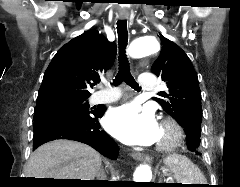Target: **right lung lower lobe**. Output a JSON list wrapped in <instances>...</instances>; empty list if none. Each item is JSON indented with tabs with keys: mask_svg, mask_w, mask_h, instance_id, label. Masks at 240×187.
Listing matches in <instances>:
<instances>
[{
	"mask_svg": "<svg viewBox=\"0 0 240 187\" xmlns=\"http://www.w3.org/2000/svg\"><path fill=\"white\" fill-rule=\"evenodd\" d=\"M104 112L105 108L101 106L89 118L73 119L52 114L34 121V149L52 140L70 139L90 145L108 158L117 159L119 147L105 131L100 130L98 118L102 117Z\"/></svg>",
	"mask_w": 240,
	"mask_h": 187,
	"instance_id": "right-lung-lower-lobe-1",
	"label": "right lung lower lobe"
}]
</instances>
